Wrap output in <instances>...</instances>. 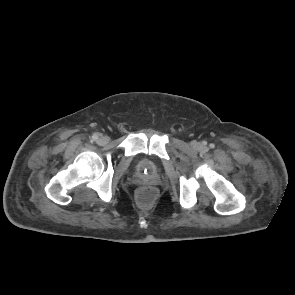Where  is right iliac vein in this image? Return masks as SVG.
Returning a JSON list of instances; mask_svg holds the SVG:
<instances>
[{"mask_svg": "<svg viewBox=\"0 0 295 295\" xmlns=\"http://www.w3.org/2000/svg\"><path fill=\"white\" fill-rule=\"evenodd\" d=\"M109 142V138L107 136H101L98 139V143L101 145L107 144Z\"/></svg>", "mask_w": 295, "mask_h": 295, "instance_id": "63e3f726", "label": "right iliac vein"}]
</instances>
